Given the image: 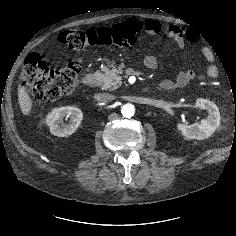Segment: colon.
<instances>
[{"mask_svg":"<svg viewBox=\"0 0 236 236\" xmlns=\"http://www.w3.org/2000/svg\"><path fill=\"white\" fill-rule=\"evenodd\" d=\"M138 20H126L107 27L87 30H68L59 34V41L74 50H84L97 46H132L142 31ZM82 63L71 62L60 69H51L36 53L25 60L20 79L22 84L39 99L55 100L71 93L77 86Z\"/></svg>","mask_w":236,"mask_h":236,"instance_id":"1","label":"colon"}]
</instances>
